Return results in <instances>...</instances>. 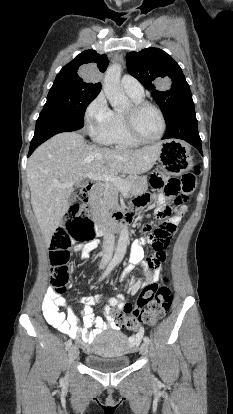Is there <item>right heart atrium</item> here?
Returning <instances> with one entry per match:
<instances>
[{
  "label": "right heart atrium",
  "mask_w": 233,
  "mask_h": 414,
  "mask_svg": "<svg viewBox=\"0 0 233 414\" xmlns=\"http://www.w3.org/2000/svg\"><path fill=\"white\" fill-rule=\"evenodd\" d=\"M111 115L112 111L103 93L98 94L86 107L85 126L96 141L106 143Z\"/></svg>",
  "instance_id": "1"
}]
</instances>
